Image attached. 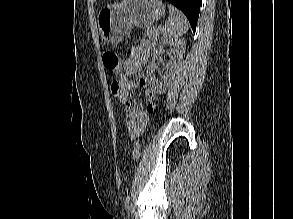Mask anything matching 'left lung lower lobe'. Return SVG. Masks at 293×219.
I'll use <instances>...</instances> for the list:
<instances>
[{"label":"left lung lower lobe","instance_id":"1","mask_svg":"<svg viewBox=\"0 0 293 219\" xmlns=\"http://www.w3.org/2000/svg\"><path fill=\"white\" fill-rule=\"evenodd\" d=\"M179 8L188 18L192 30L196 31L197 20L199 17L200 5L202 0H167Z\"/></svg>","mask_w":293,"mask_h":219}]
</instances>
